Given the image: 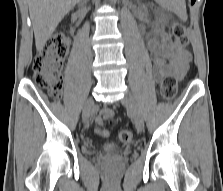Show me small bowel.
Listing matches in <instances>:
<instances>
[{
    "mask_svg": "<svg viewBox=\"0 0 223 191\" xmlns=\"http://www.w3.org/2000/svg\"><path fill=\"white\" fill-rule=\"evenodd\" d=\"M153 55L154 77L161 80L168 74H174L177 78H183L191 60V53L173 42L166 35L152 37L148 44ZM110 109H102L96 118V123L102 125L104 120L112 117Z\"/></svg>",
    "mask_w": 223,
    "mask_h": 191,
    "instance_id": "small-bowel-1",
    "label": "small bowel"
}]
</instances>
